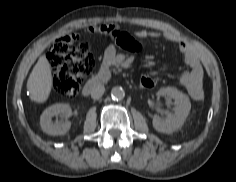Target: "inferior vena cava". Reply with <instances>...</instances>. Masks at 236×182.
<instances>
[{
    "instance_id": "1",
    "label": "inferior vena cava",
    "mask_w": 236,
    "mask_h": 182,
    "mask_svg": "<svg viewBox=\"0 0 236 182\" xmlns=\"http://www.w3.org/2000/svg\"><path fill=\"white\" fill-rule=\"evenodd\" d=\"M105 92V87L102 84L95 85L91 90V97L93 99H99Z\"/></svg>"
}]
</instances>
